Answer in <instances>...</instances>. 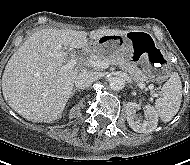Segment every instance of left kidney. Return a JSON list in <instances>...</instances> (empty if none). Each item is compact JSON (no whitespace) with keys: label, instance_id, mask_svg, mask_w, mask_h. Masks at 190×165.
<instances>
[{"label":"left kidney","instance_id":"obj_1","mask_svg":"<svg viewBox=\"0 0 190 165\" xmlns=\"http://www.w3.org/2000/svg\"><path fill=\"white\" fill-rule=\"evenodd\" d=\"M140 104L128 102L126 104L127 122L131 129L138 133H150L154 131L158 124V113L152 106H145L144 112L147 120L141 122L136 116V111L140 110Z\"/></svg>","mask_w":190,"mask_h":165}]
</instances>
